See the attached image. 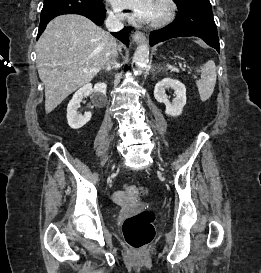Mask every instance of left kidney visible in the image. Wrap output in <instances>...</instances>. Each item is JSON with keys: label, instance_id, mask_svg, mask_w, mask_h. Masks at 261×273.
Segmentation results:
<instances>
[{"label": "left kidney", "instance_id": "left-kidney-1", "mask_svg": "<svg viewBox=\"0 0 261 273\" xmlns=\"http://www.w3.org/2000/svg\"><path fill=\"white\" fill-rule=\"evenodd\" d=\"M173 89L175 98L172 102L168 100L166 89ZM154 97L159 103L166 106L165 113L168 116H179L186 104V88L183 83L176 79L164 78L158 82L154 89Z\"/></svg>", "mask_w": 261, "mask_h": 273}]
</instances>
